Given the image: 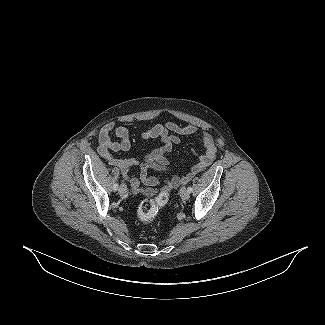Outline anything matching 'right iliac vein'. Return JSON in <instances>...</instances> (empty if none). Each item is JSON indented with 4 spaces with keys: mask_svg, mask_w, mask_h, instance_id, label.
<instances>
[{
    "mask_svg": "<svg viewBox=\"0 0 325 325\" xmlns=\"http://www.w3.org/2000/svg\"><path fill=\"white\" fill-rule=\"evenodd\" d=\"M118 192L120 195H124L127 193V186L125 184H121L119 189H118Z\"/></svg>",
    "mask_w": 325,
    "mask_h": 325,
    "instance_id": "right-iliac-vein-1",
    "label": "right iliac vein"
}]
</instances>
